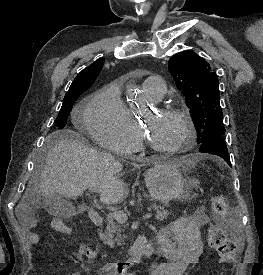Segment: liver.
Here are the masks:
<instances>
[{"label":"liver","instance_id":"6515ba94","mask_svg":"<svg viewBox=\"0 0 263 275\" xmlns=\"http://www.w3.org/2000/svg\"><path fill=\"white\" fill-rule=\"evenodd\" d=\"M44 168L40 175V191L26 189L19 210L37 206L40 196L57 193L67 198H77L87 188H95L104 204H117L128 195L123 181L118 177L122 164L108 153L98 152L72 130L55 132L51 137ZM193 163V158L182 157L176 164Z\"/></svg>","mask_w":263,"mask_h":275}]
</instances>
